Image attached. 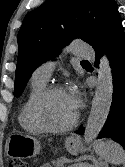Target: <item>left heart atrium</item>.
Instances as JSON below:
<instances>
[{"label": "left heart atrium", "mask_w": 125, "mask_h": 167, "mask_svg": "<svg viewBox=\"0 0 125 167\" xmlns=\"http://www.w3.org/2000/svg\"><path fill=\"white\" fill-rule=\"evenodd\" d=\"M67 94H68V98H69L71 104L73 105V107L75 109H77V107L79 105V95L74 90H70Z\"/></svg>", "instance_id": "left-heart-atrium-1"}]
</instances>
